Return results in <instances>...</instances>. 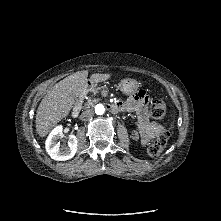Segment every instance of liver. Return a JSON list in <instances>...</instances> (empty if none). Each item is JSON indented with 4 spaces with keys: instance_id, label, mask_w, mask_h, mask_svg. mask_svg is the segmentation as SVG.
Instances as JSON below:
<instances>
[{
    "instance_id": "6515ba94",
    "label": "liver",
    "mask_w": 221,
    "mask_h": 221,
    "mask_svg": "<svg viewBox=\"0 0 221 221\" xmlns=\"http://www.w3.org/2000/svg\"><path fill=\"white\" fill-rule=\"evenodd\" d=\"M88 71H78L55 84L42 99L36 112V131L45 137L62 119L67 117L75 104V99L86 94ZM110 74H92L93 84L104 82Z\"/></svg>"
}]
</instances>
